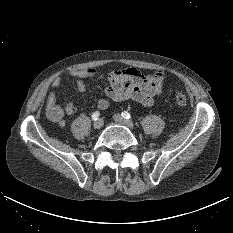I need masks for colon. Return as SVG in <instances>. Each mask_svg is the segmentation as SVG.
I'll list each match as a JSON object with an SVG mask.
<instances>
[{
	"label": "colon",
	"instance_id": "obj_1",
	"mask_svg": "<svg viewBox=\"0 0 233 233\" xmlns=\"http://www.w3.org/2000/svg\"><path fill=\"white\" fill-rule=\"evenodd\" d=\"M175 97V101L179 106H186L188 99L186 97L185 94H183L182 92L176 91L174 94Z\"/></svg>",
	"mask_w": 233,
	"mask_h": 233
}]
</instances>
